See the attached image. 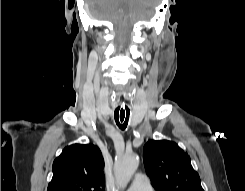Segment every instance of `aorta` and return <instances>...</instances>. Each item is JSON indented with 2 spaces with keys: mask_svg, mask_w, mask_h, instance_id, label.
I'll return each mask as SVG.
<instances>
[{
  "mask_svg": "<svg viewBox=\"0 0 245 191\" xmlns=\"http://www.w3.org/2000/svg\"><path fill=\"white\" fill-rule=\"evenodd\" d=\"M139 158L135 153L124 154L118 157L114 165V174L120 189L127 187L131 177L137 170Z\"/></svg>",
  "mask_w": 245,
  "mask_h": 191,
  "instance_id": "762f6f07",
  "label": "aorta"
}]
</instances>
